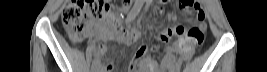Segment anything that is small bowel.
<instances>
[{
	"mask_svg": "<svg viewBox=\"0 0 267 72\" xmlns=\"http://www.w3.org/2000/svg\"><path fill=\"white\" fill-rule=\"evenodd\" d=\"M201 6V5H200ZM129 6L128 4H122L119 8L120 11H126L128 10ZM198 17H205L203 9L197 14ZM172 27L168 30L172 37H178V42L175 43L169 50V52L164 56L162 59L160 65L157 64L156 61L150 59V58H144L145 52L148 50V45L143 44L141 45L136 53L134 54L130 71L131 72H171L174 70L176 66V60L174 55L171 53L177 48V45L180 44L183 41V38L181 37V33L177 31L178 27H182L178 21L176 16H172ZM87 35L91 38L99 39L101 40V43L94 46V53L96 57L98 58V67L102 71H109L111 66L106 63L103 58L107 52V45L106 41L111 38H116L119 41L122 42H128L127 39L121 35L120 33L115 32L114 30H107L106 29V21L105 20H98L94 26H91L87 30ZM154 50H158L157 47H154ZM139 64H143L142 67H138Z\"/></svg>",
	"mask_w": 267,
	"mask_h": 72,
	"instance_id": "obj_1",
	"label": "small bowel"
}]
</instances>
